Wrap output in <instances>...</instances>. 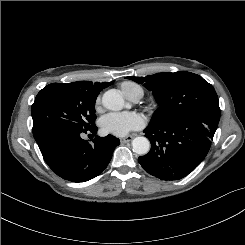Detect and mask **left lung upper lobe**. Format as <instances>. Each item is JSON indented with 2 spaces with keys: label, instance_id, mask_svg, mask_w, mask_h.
Segmentation results:
<instances>
[{
  "label": "left lung upper lobe",
  "instance_id": "5c2ea615",
  "mask_svg": "<svg viewBox=\"0 0 245 245\" xmlns=\"http://www.w3.org/2000/svg\"><path fill=\"white\" fill-rule=\"evenodd\" d=\"M153 92L159 108L149 126L160 127L192 116L220 119L218 96L201 76L179 71L126 77Z\"/></svg>",
  "mask_w": 245,
  "mask_h": 245
}]
</instances>
